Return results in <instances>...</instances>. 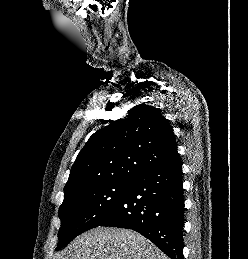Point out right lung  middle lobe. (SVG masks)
Listing matches in <instances>:
<instances>
[{"mask_svg":"<svg viewBox=\"0 0 248 259\" xmlns=\"http://www.w3.org/2000/svg\"><path fill=\"white\" fill-rule=\"evenodd\" d=\"M131 181H106L77 187L65 192L59 208L61 227L56 250L77 235L97 227L129 189Z\"/></svg>","mask_w":248,"mask_h":259,"instance_id":"1","label":"right lung middle lobe"}]
</instances>
